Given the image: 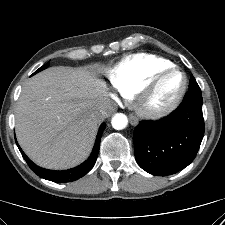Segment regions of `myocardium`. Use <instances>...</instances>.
I'll list each match as a JSON object with an SVG mask.
<instances>
[{"label": "myocardium", "mask_w": 225, "mask_h": 225, "mask_svg": "<svg viewBox=\"0 0 225 225\" xmlns=\"http://www.w3.org/2000/svg\"><path fill=\"white\" fill-rule=\"evenodd\" d=\"M180 77L177 88L170 98L159 106L152 107L148 104L149 99L159 87L160 83L171 75ZM187 87V77L177 66L162 70L154 75L136 94L135 107L139 115L146 119H160L173 112L180 104Z\"/></svg>", "instance_id": "1"}]
</instances>
